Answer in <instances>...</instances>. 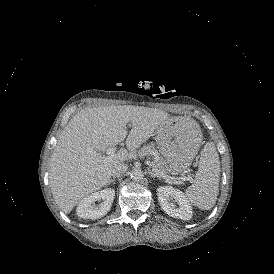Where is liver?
<instances>
[{
	"label": "liver",
	"instance_id": "liver-1",
	"mask_svg": "<svg viewBox=\"0 0 274 274\" xmlns=\"http://www.w3.org/2000/svg\"><path fill=\"white\" fill-rule=\"evenodd\" d=\"M194 121L172 116L159 108L136 105L90 106L81 109L59 136L51 156L49 185L52 196L65 213L90 193L106 186L116 165L124 164L155 132ZM132 126L127 135L126 126ZM126 138V147L107 154L109 147Z\"/></svg>",
	"mask_w": 274,
	"mask_h": 274
}]
</instances>
